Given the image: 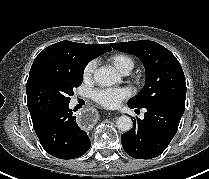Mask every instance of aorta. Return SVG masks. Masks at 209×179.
Listing matches in <instances>:
<instances>
[{"mask_svg": "<svg viewBox=\"0 0 209 179\" xmlns=\"http://www.w3.org/2000/svg\"><path fill=\"white\" fill-rule=\"evenodd\" d=\"M94 80L98 85L111 86L118 81V77L111 69L101 67L95 70ZM116 124L118 129L123 132L129 131L133 126L131 118L127 115L120 116Z\"/></svg>", "mask_w": 209, "mask_h": 179, "instance_id": "aorta-1", "label": "aorta"}]
</instances>
